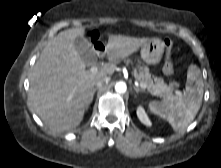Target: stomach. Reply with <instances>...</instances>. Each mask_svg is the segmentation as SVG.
<instances>
[{"mask_svg":"<svg viewBox=\"0 0 221 168\" xmlns=\"http://www.w3.org/2000/svg\"><path fill=\"white\" fill-rule=\"evenodd\" d=\"M165 44L159 38H151L141 46V58L147 65H157L163 56Z\"/></svg>","mask_w":221,"mask_h":168,"instance_id":"obj_1","label":"stomach"}]
</instances>
